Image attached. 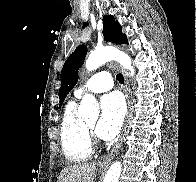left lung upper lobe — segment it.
<instances>
[{
	"instance_id": "obj_1",
	"label": "left lung upper lobe",
	"mask_w": 196,
	"mask_h": 182,
	"mask_svg": "<svg viewBox=\"0 0 196 182\" xmlns=\"http://www.w3.org/2000/svg\"><path fill=\"white\" fill-rule=\"evenodd\" d=\"M103 36L106 41L118 44L127 43V37L123 35L121 25L111 15L103 17ZM86 54V46L79 45L66 60L61 71L60 106L67 94L78 82V70L84 63Z\"/></svg>"
}]
</instances>
